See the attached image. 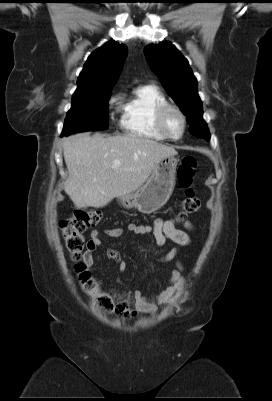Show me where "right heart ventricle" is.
Instances as JSON below:
<instances>
[{
    "instance_id": "1",
    "label": "right heart ventricle",
    "mask_w": 272,
    "mask_h": 401,
    "mask_svg": "<svg viewBox=\"0 0 272 401\" xmlns=\"http://www.w3.org/2000/svg\"><path fill=\"white\" fill-rule=\"evenodd\" d=\"M166 103V96L155 85L138 86L123 105L122 128L134 137L166 140L156 123L157 111Z\"/></svg>"
}]
</instances>
